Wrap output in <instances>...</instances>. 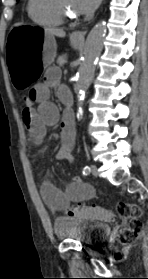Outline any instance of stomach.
I'll list each match as a JSON object with an SVG mask.
<instances>
[{"instance_id": "1", "label": "stomach", "mask_w": 148, "mask_h": 279, "mask_svg": "<svg viewBox=\"0 0 148 279\" xmlns=\"http://www.w3.org/2000/svg\"><path fill=\"white\" fill-rule=\"evenodd\" d=\"M6 69L13 91H31L35 82H40L45 70L50 67L56 55V44L53 36L47 34L43 25H14L5 35ZM71 45L78 47L79 42L71 37Z\"/></svg>"}]
</instances>
